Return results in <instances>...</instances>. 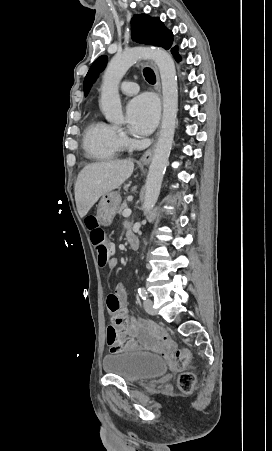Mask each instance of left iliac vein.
Segmentation results:
<instances>
[{"instance_id":"1","label":"left iliac vein","mask_w":272,"mask_h":451,"mask_svg":"<svg viewBox=\"0 0 272 451\" xmlns=\"http://www.w3.org/2000/svg\"><path fill=\"white\" fill-rule=\"evenodd\" d=\"M144 310L149 314H155V310L153 308V301L149 298H146L143 303Z\"/></svg>"}]
</instances>
